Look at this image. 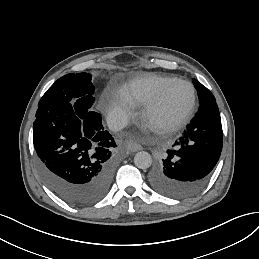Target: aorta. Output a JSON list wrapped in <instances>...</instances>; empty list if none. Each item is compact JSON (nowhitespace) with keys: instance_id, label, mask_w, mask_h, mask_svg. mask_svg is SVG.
<instances>
[{"instance_id":"1","label":"aorta","mask_w":259,"mask_h":259,"mask_svg":"<svg viewBox=\"0 0 259 259\" xmlns=\"http://www.w3.org/2000/svg\"><path fill=\"white\" fill-rule=\"evenodd\" d=\"M134 164L139 169H147L152 164V157L148 152L140 151L134 156Z\"/></svg>"}]
</instances>
